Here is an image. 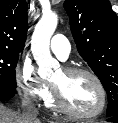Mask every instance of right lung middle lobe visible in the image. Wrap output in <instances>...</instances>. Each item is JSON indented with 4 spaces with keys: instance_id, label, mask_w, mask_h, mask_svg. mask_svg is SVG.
I'll return each mask as SVG.
<instances>
[{
    "instance_id": "1",
    "label": "right lung middle lobe",
    "mask_w": 118,
    "mask_h": 123,
    "mask_svg": "<svg viewBox=\"0 0 118 123\" xmlns=\"http://www.w3.org/2000/svg\"><path fill=\"white\" fill-rule=\"evenodd\" d=\"M20 52L0 49V89H16L15 67Z\"/></svg>"
}]
</instances>
